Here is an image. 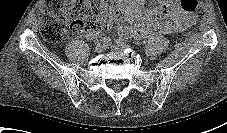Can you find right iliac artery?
Masks as SVG:
<instances>
[{"label": "right iliac artery", "instance_id": "82829eb1", "mask_svg": "<svg viewBox=\"0 0 227 133\" xmlns=\"http://www.w3.org/2000/svg\"><path fill=\"white\" fill-rule=\"evenodd\" d=\"M103 44L107 47L111 45V40L109 38H104L103 39Z\"/></svg>", "mask_w": 227, "mask_h": 133}]
</instances>
